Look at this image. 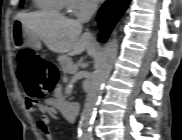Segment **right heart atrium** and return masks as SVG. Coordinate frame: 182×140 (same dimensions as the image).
I'll list each match as a JSON object with an SVG mask.
<instances>
[{"mask_svg":"<svg viewBox=\"0 0 182 140\" xmlns=\"http://www.w3.org/2000/svg\"><path fill=\"white\" fill-rule=\"evenodd\" d=\"M93 4L87 0H68L67 10L75 15H81L90 12Z\"/></svg>","mask_w":182,"mask_h":140,"instance_id":"right-heart-atrium-1","label":"right heart atrium"}]
</instances>
